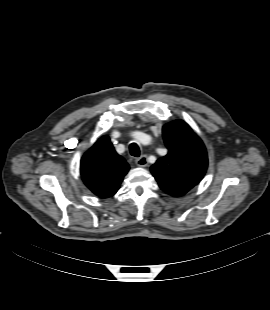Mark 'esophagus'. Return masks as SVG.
Here are the masks:
<instances>
[{"mask_svg": "<svg viewBox=\"0 0 270 310\" xmlns=\"http://www.w3.org/2000/svg\"><path fill=\"white\" fill-rule=\"evenodd\" d=\"M135 162L139 167H146L148 165V159L146 156H141L140 158L136 159Z\"/></svg>", "mask_w": 270, "mask_h": 310, "instance_id": "obj_1", "label": "esophagus"}]
</instances>
